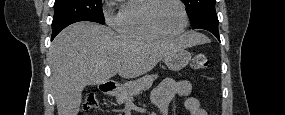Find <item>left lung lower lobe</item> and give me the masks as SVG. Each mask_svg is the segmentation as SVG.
I'll list each match as a JSON object with an SVG mask.
<instances>
[{
	"mask_svg": "<svg viewBox=\"0 0 285 115\" xmlns=\"http://www.w3.org/2000/svg\"><path fill=\"white\" fill-rule=\"evenodd\" d=\"M193 29H205L213 33L220 41L218 32V17L217 14H211L198 20L196 24L192 25Z\"/></svg>",
	"mask_w": 285,
	"mask_h": 115,
	"instance_id": "1",
	"label": "left lung lower lobe"
}]
</instances>
